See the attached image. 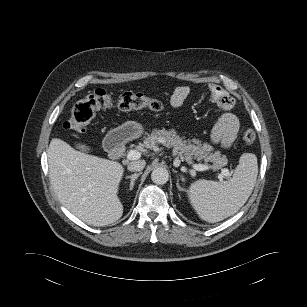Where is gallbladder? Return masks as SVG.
I'll use <instances>...</instances> for the list:
<instances>
[{"label":"gallbladder","instance_id":"obj_1","mask_svg":"<svg viewBox=\"0 0 307 307\" xmlns=\"http://www.w3.org/2000/svg\"><path fill=\"white\" fill-rule=\"evenodd\" d=\"M76 148L82 152H89L91 150L89 146H87L86 144H82V143H77Z\"/></svg>","mask_w":307,"mask_h":307}]
</instances>
